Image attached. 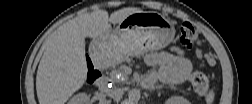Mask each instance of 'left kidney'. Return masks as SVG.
<instances>
[{"label": "left kidney", "instance_id": "5707ae66", "mask_svg": "<svg viewBox=\"0 0 252 104\" xmlns=\"http://www.w3.org/2000/svg\"><path fill=\"white\" fill-rule=\"evenodd\" d=\"M169 104H187L188 100L184 99L181 96H174L168 99Z\"/></svg>", "mask_w": 252, "mask_h": 104}]
</instances>
